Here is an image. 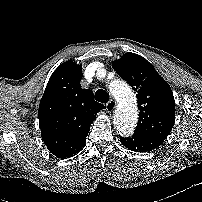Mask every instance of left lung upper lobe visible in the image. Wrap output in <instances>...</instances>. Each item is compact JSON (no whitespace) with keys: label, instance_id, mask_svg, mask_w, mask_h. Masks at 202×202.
Returning <instances> with one entry per match:
<instances>
[{"label":"left lung upper lobe","instance_id":"5c2ea615","mask_svg":"<svg viewBox=\"0 0 202 202\" xmlns=\"http://www.w3.org/2000/svg\"><path fill=\"white\" fill-rule=\"evenodd\" d=\"M113 68L137 92L139 121L134 134L165 140L175 122L172 90L142 56L126 53Z\"/></svg>","mask_w":202,"mask_h":202}]
</instances>
